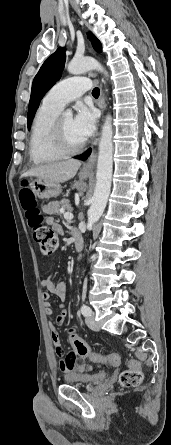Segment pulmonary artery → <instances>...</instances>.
<instances>
[{"label":"pulmonary artery","instance_id":"e3ab8cb5","mask_svg":"<svg viewBox=\"0 0 171 445\" xmlns=\"http://www.w3.org/2000/svg\"><path fill=\"white\" fill-rule=\"evenodd\" d=\"M90 87V81L86 77L67 78L54 85L45 95L43 102L62 110L67 103L87 92Z\"/></svg>","mask_w":171,"mask_h":445}]
</instances>
